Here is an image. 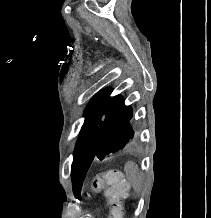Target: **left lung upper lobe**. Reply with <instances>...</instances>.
<instances>
[{
    "mask_svg": "<svg viewBox=\"0 0 211 218\" xmlns=\"http://www.w3.org/2000/svg\"><path fill=\"white\" fill-rule=\"evenodd\" d=\"M112 89L100 91L88 104L71 166L73 192L79 197L86 173L95 157L102 160L130 144L135 135L132 108Z\"/></svg>",
    "mask_w": 211,
    "mask_h": 218,
    "instance_id": "5c2ea615",
    "label": "left lung upper lobe"
}]
</instances>
